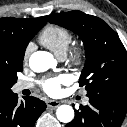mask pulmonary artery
I'll list each match as a JSON object with an SVG mask.
<instances>
[{
    "mask_svg": "<svg viewBox=\"0 0 127 127\" xmlns=\"http://www.w3.org/2000/svg\"><path fill=\"white\" fill-rule=\"evenodd\" d=\"M64 57H61L63 59ZM33 87V84L31 82L27 81H20L15 85V90L17 92L25 90V89H30ZM84 102H87V98L84 99Z\"/></svg>",
    "mask_w": 127,
    "mask_h": 127,
    "instance_id": "obj_1",
    "label": "pulmonary artery"
}]
</instances>
